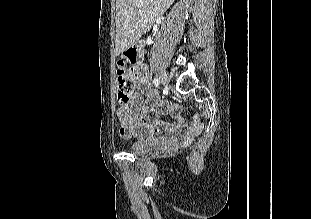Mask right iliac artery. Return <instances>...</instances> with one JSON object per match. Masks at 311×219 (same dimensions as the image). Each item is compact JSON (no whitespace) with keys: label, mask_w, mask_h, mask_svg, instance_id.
I'll list each match as a JSON object with an SVG mask.
<instances>
[{"label":"right iliac artery","mask_w":311,"mask_h":219,"mask_svg":"<svg viewBox=\"0 0 311 219\" xmlns=\"http://www.w3.org/2000/svg\"><path fill=\"white\" fill-rule=\"evenodd\" d=\"M153 83L155 84V86H159L160 81L158 78H154Z\"/></svg>","instance_id":"obj_1"}]
</instances>
